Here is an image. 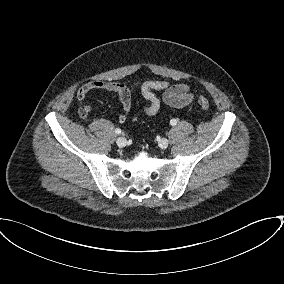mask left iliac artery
<instances>
[{"label":"left iliac artery","mask_w":284,"mask_h":284,"mask_svg":"<svg viewBox=\"0 0 284 284\" xmlns=\"http://www.w3.org/2000/svg\"><path fill=\"white\" fill-rule=\"evenodd\" d=\"M170 124H171L172 126L176 125V124H177V120H176V119H171V120H170Z\"/></svg>","instance_id":"left-iliac-artery-1"}]
</instances>
